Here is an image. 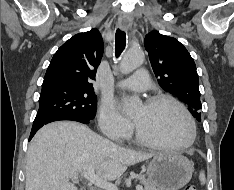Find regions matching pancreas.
I'll return each instance as SVG.
<instances>
[{
    "label": "pancreas",
    "mask_w": 234,
    "mask_h": 190,
    "mask_svg": "<svg viewBox=\"0 0 234 190\" xmlns=\"http://www.w3.org/2000/svg\"><path fill=\"white\" fill-rule=\"evenodd\" d=\"M139 182L144 185V190H159L155 185L150 183L143 175L137 176Z\"/></svg>",
    "instance_id": "cf45deb5"
}]
</instances>
